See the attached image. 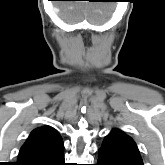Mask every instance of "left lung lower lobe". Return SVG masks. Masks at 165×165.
I'll list each match as a JSON object with an SVG mask.
<instances>
[{"instance_id": "0a47b994", "label": "left lung lower lobe", "mask_w": 165, "mask_h": 165, "mask_svg": "<svg viewBox=\"0 0 165 165\" xmlns=\"http://www.w3.org/2000/svg\"><path fill=\"white\" fill-rule=\"evenodd\" d=\"M96 165H118L109 159V157L99 150V157Z\"/></svg>"}]
</instances>
